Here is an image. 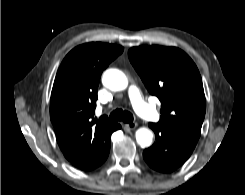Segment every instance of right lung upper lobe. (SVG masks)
<instances>
[{"label":"right lung upper lobe","mask_w":245,"mask_h":195,"mask_svg":"<svg viewBox=\"0 0 245 195\" xmlns=\"http://www.w3.org/2000/svg\"><path fill=\"white\" fill-rule=\"evenodd\" d=\"M123 52L122 46L86 43L62 61L52 89L50 118L65 158L82 170L98 167L103 136L116 122L94 118L97 89L103 70Z\"/></svg>","instance_id":"cb5924a9"}]
</instances>
